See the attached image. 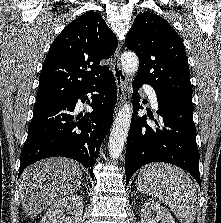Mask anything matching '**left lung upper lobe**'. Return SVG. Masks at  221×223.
<instances>
[{
  "instance_id": "left-lung-upper-lobe-1",
  "label": "left lung upper lobe",
  "mask_w": 221,
  "mask_h": 223,
  "mask_svg": "<svg viewBox=\"0 0 221 223\" xmlns=\"http://www.w3.org/2000/svg\"><path fill=\"white\" fill-rule=\"evenodd\" d=\"M126 46L139 57L134 80L152 86L157 94L192 104V87L183 41L162 17L139 14L127 34Z\"/></svg>"
}]
</instances>
